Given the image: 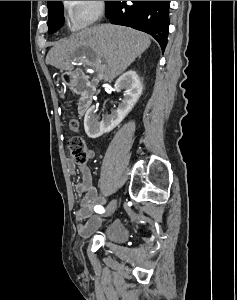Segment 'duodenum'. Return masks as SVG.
I'll use <instances>...</instances> for the list:
<instances>
[{
  "instance_id": "410a0bca",
  "label": "duodenum",
  "mask_w": 237,
  "mask_h": 300,
  "mask_svg": "<svg viewBox=\"0 0 237 300\" xmlns=\"http://www.w3.org/2000/svg\"><path fill=\"white\" fill-rule=\"evenodd\" d=\"M66 83L80 96L78 102V113L84 115L92 105L96 94L95 86L87 76L80 70H72L66 75Z\"/></svg>"
}]
</instances>
